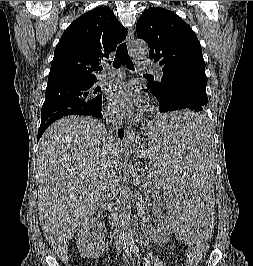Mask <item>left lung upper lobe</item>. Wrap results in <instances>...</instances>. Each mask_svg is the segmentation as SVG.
Wrapping results in <instances>:
<instances>
[{
  "label": "left lung upper lobe",
  "instance_id": "5c2ea615",
  "mask_svg": "<svg viewBox=\"0 0 253 266\" xmlns=\"http://www.w3.org/2000/svg\"><path fill=\"white\" fill-rule=\"evenodd\" d=\"M136 31L150 47L149 57L162 67L161 82L147 84L159 102L165 100L169 88L180 79L191 78L207 84L200 42L191 27L175 13L149 8L137 21Z\"/></svg>",
  "mask_w": 253,
  "mask_h": 266
}]
</instances>
